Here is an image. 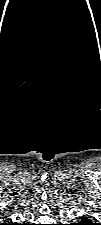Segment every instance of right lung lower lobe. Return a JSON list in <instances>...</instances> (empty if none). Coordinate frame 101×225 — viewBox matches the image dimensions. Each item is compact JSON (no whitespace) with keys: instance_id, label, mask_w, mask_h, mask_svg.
Wrapping results in <instances>:
<instances>
[{"instance_id":"98d812e1","label":"right lung lower lobe","mask_w":101,"mask_h":225,"mask_svg":"<svg viewBox=\"0 0 101 225\" xmlns=\"http://www.w3.org/2000/svg\"><path fill=\"white\" fill-rule=\"evenodd\" d=\"M6 225H16V224L10 223V224H6Z\"/></svg>"}]
</instances>
